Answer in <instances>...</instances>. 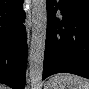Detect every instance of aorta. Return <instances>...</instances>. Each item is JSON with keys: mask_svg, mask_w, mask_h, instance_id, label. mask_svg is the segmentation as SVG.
Instances as JSON below:
<instances>
[{"mask_svg": "<svg viewBox=\"0 0 89 89\" xmlns=\"http://www.w3.org/2000/svg\"><path fill=\"white\" fill-rule=\"evenodd\" d=\"M47 29L46 0H32V37L29 74L31 89H42V74Z\"/></svg>", "mask_w": 89, "mask_h": 89, "instance_id": "obj_1", "label": "aorta"}]
</instances>
